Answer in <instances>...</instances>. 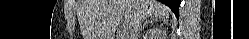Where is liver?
<instances>
[{"instance_id":"6515ba94","label":"liver","mask_w":249,"mask_h":39,"mask_svg":"<svg viewBox=\"0 0 249 39\" xmlns=\"http://www.w3.org/2000/svg\"><path fill=\"white\" fill-rule=\"evenodd\" d=\"M170 10L156 0H82L79 21L84 39H113L123 20L124 29L132 28L137 17L167 19Z\"/></svg>"}]
</instances>
